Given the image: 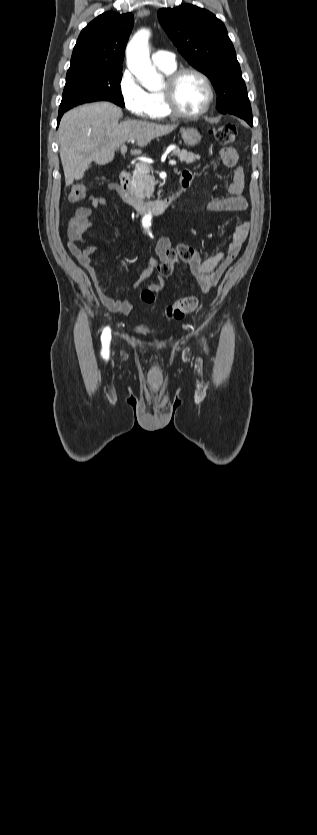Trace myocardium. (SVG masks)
Here are the masks:
<instances>
[{
    "label": "myocardium",
    "mask_w": 317,
    "mask_h": 835,
    "mask_svg": "<svg viewBox=\"0 0 317 835\" xmlns=\"http://www.w3.org/2000/svg\"><path fill=\"white\" fill-rule=\"evenodd\" d=\"M187 74H194V75H197L198 77H200L203 80V82L206 86V89H207V98H206V101H205L203 107L199 111H197L195 113H191V114L183 112L179 108V106L177 104V100H176V89H177L178 83H179L180 79ZM162 92H163V96H164V99L166 101L167 107L170 111V114L174 117L181 118V119H188V120L196 119V118H199L202 115H204L209 110L211 104L213 103L214 95H215L214 87H213L211 79L203 71H201L197 68H194V67H183V68H180V69H176L171 74H169L166 78V82H165V85L162 89Z\"/></svg>",
    "instance_id": "obj_1"
}]
</instances>
